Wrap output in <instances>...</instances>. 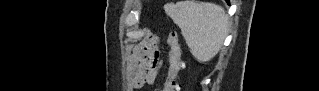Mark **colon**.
Here are the masks:
<instances>
[{
	"instance_id": "obj_1",
	"label": "colon",
	"mask_w": 319,
	"mask_h": 91,
	"mask_svg": "<svg viewBox=\"0 0 319 91\" xmlns=\"http://www.w3.org/2000/svg\"><path fill=\"white\" fill-rule=\"evenodd\" d=\"M168 44L170 50L169 68L167 72V78L164 84V91L177 90L176 77L181 70V47L179 44L178 36L175 32H171L168 36ZM157 63V50L151 46L150 49L140 58V65L144 69H150Z\"/></svg>"
}]
</instances>
